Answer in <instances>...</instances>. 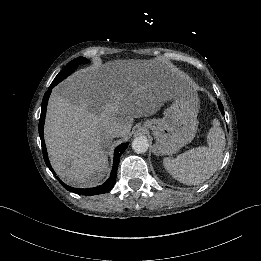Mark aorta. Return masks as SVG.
I'll list each match as a JSON object with an SVG mask.
<instances>
[{
    "instance_id": "obj_1",
    "label": "aorta",
    "mask_w": 261,
    "mask_h": 261,
    "mask_svg": "<svg viewBox=\"0 0 261 261\" xmlns=\"http://www.w3.org/2000/svg\"><path fill=\"white\" fill-rule=\"evenodd\" d=\"M148 147V139L144 136L136 137L132 142V150L137 154H143L147 152Z\"/></svg>"
}]
</instances>
